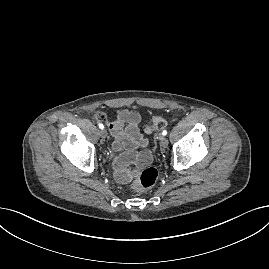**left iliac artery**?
<instances>
[{"label": "left iliac artery", "mask_w": 269, "mask_h": 269, "mask_svg": "<svg viewBox=\"0 0 269 269\" xmlns=\"http://www.w3.org/2000/svg\"><path fill=\"white\" fill-rule=\"evenodd\" d=\"M162 135H167V130H164L163 132H162Z\"/></svg>", "instance_id": "1"}]
</instances>
